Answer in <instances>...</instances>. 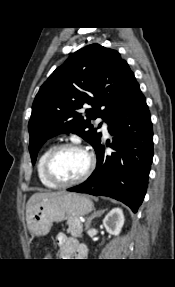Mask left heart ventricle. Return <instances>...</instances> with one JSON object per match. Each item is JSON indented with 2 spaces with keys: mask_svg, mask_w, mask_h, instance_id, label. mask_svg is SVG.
<instances>
[{
  "mask_svg": "<svg viewBox=\"0 0 175 287\" xmlns=\"http://www.w3.org/2000/svg\"><path fill=\"white\" fill-rule=\"evenodd\" d=\"M88 166V156L85 152L67 148L60 151L54 158L51 170L60 181H70L81 176Z\"/></svg>",
  "mask_w": 175,
  "mask_h": 287,
  "instance_id": "b2bd125f",
  "label": "left heart ventricle"
}]
</instances>
